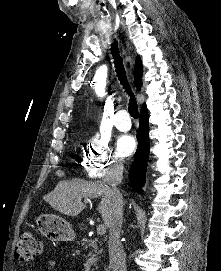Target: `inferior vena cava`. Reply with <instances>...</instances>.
I'll use <instances>...</instances> for the list:
<instances>
[{
    "mask_svg": "<svg viewBox=\"0 0 221 271\" xmlns=\"http://www.w3.org/2000/svg\"><path fill=\"white\" fill-rule=\"evenodd\" d=\"M114 169H116V171H123L124 163H115ZM103 183H106V189L108 193H111L115 201L112 217L108 225V251L110 267H112V271H127L126 255L120 241L124 209L122 193H120L119 189H117L120 179H115V177L114 179H103Z\"/></svg>",
    "mask_w": 221,
    "mask_h": 271,
    "instance_id": "1",
    "label": "inferior vena cava"
}]
</instances>
